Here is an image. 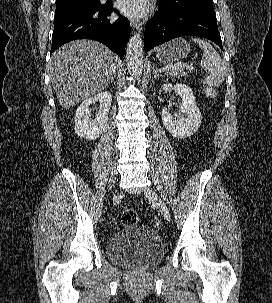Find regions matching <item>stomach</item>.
Returning <instances> with one entry per match:
<instances>
[{
	"instance_id": "1",
	"label": "stomach",
	"mask_w": 272,
	"mask_h": 303,
	"mask_svg": "<svg viewBox=\"0 0 272 303\" xmlns=\"http://www.w3.org/2000/svg\"><path fill=\"white\" fill-rule=\"evenodd\" d=\"M189 52V44L184 39L177 38L160 46L156 57L164 63H173L184 59Z\"/></svg>"
}]
</instances>
